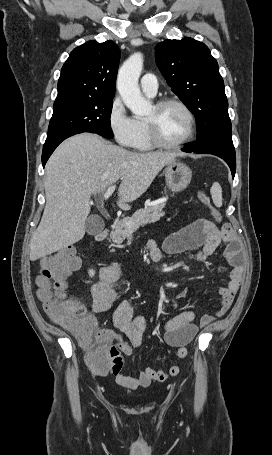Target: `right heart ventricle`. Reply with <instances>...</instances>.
Returning <instances> with one entry per match:
<instances>
[{
	"label": "right heart ventricle",
	"mask_w": 272,
	"mask_h": 455,
	"mask_svg": "<svg viewBox=\"0 0 272 455\" xmlns=\"http://www.w3.org/2000/svg\"><path fill=\"white\" fill-rule=\"evenodd\" d=\"M137 135L132 147L137 151H150L153 149V144L150 141L147 126L144 120L136 119Z\"/></svg>",
	"instance_id": "right-heart-ventricle-1"
}]
</instances>
